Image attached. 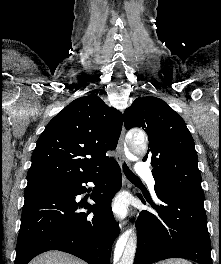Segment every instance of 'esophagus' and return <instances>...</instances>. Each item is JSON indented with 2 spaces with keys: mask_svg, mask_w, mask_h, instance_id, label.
<instances>
[{
  "mask_svg": "<svg viewBox=\"0 0 221 264\" xmlns=\"http://www.w3.org/2000/svg\"><path fill=\"white\" fill-rule=\"evenodd\" d=\"M124 152H125V128L123 126L122 131H121V135L119 138L118 146H117V161L120 164V166H123V164H124V160H125ZM124 183H125V185L128 186V182H127L126 178H124ZM126 223H127V221H121L119 223V227L121 230L124 228Z\"/></svg>",
  "mask_w": 221,
  "mask_h": 264,
  "instance_id": "obj_1",
  "label": "esophagus"
}]
</instances>
